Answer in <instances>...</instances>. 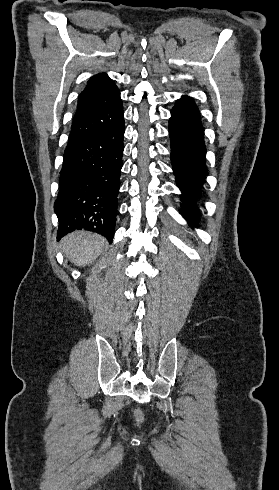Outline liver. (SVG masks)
<instances>
[{
  "instance_id": "6515ba94",
  "label": "liver",
  "mask_w": 279,
  "mask_h": 490,
  "mask_svg": "<svg viewBox=\"0 0 279 490\" xmlns=\"http://www.w3.org/2000/svg\"><path fill=\"white\" fill-rule=\"evenodd\" d=\"M65 258L75 266H87L99 258L107 248V240L92 232H72L61 240Z\"/></svg>"
}]
</instances>
